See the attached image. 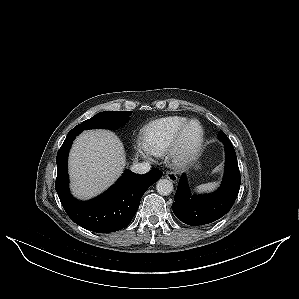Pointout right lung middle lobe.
Returning a JSON list of instances; mask_svg holds the SVG:
<instances>
[{"label":"right lung middle lobe","mask_w":299,"mask_h":299,"mask_svg":"<svg viewBox=\"0 0 299 299\" xmlns=\"http://www.w3.org/2000/svg\"><path fill=\"white\" fill-rule=\"evenodd\" d=\"M130 111H106L100 112L92 118L74 127V130L82 131L85 129H116L124 125L129 119Z\"/></svg>","instance_id":"dd1d6c3e"}]
</instances>
